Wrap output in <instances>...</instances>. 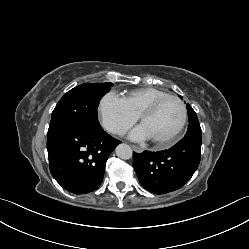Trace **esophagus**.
I'll list each match as a JSON object with an SVG mask.
<instances>
[{
  "label": "esophagus",
  "instance_id": "obj_1",
  "mask_svg": "<svg viewBox=\"0 0 249 249\" xmlns=\"http://www.w3.org/2000/svg\"><path fill=\"white\" fill-rule=\"evenodd\" d=\"M132 149L137 152V153H141L143 150L142 148L136 146V145H131Z\"/></svg>",
  "mask_w": 249,
  "mask_h": 249
}]
</instances>
